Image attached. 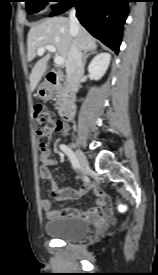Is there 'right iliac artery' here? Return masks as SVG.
Masks as SVG:
<instances>
[{
  "label": "right iliac artery",
  "mask_w": 158,
  "mask_h": 275,
  "mask_svg": "<svg viewBox=\"0 0 158 275\" xmlns=\"http://www.w3.org/2000/svg\"><path fill=\"white\" fill-rule=\"evenodd\" d=\"M60 149L68 156L73 168L77 170L79 168V162L73 151L71 150L70 147H68L65 144L60 145Z\"/></svg>",
  "instance_id": "1"
}]
</instances>
